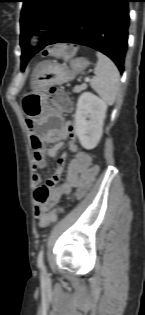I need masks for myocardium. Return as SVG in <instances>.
Instances as JSON below:
<instances>
[{
	"instance_id": "myocardium-1",
	"label": "myocardium",
	"mask_w": 145,
	"mask_h": 315,
	"mask_svg": "<svg viewBox=\"0 0 145 315\" xmlns=\"http://www.w3.org/2000/svg\"><path fill=\"white\" fill-rule=\"evenodd\" d=\"M47 31L46 28H39L37 29L33 35H32V40L33 41H37L43 34H45Z\"/></svg>"
}]
</instances>
